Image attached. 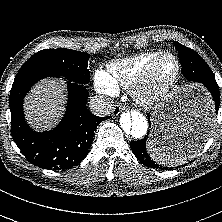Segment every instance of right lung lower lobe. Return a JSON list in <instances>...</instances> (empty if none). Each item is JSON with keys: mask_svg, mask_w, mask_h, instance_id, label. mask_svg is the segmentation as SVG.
Masks as SVG:
<instances>
[{"mask_svg": "<svg viewBox=\"0 0 222 222\" xmlns=\"http://www.w3.org/2000/svg\"><path fill=\"white\" fill-rule=\"evenodd\" d=\"M51 76L58 77L44 72L16 75L9 98L11 135L29 162L44 169L62 170L86 157L97 126L111 116L92 114L86 106L87 89L83 84L69 82L67 108L60 124L49 132L33 131L24 119L23 99L38 80Z\"/></svg>", "mask_w": 222, "mask_h": 222, "instance_id": "right-lung-lower-lobe-1", "label": "right lung lower lobe"}]
</instances>
